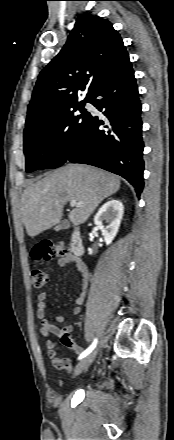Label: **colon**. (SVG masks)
I'll return each instance as SVG.
<instances>
[{
  "instance_id": "obj_1",
  "label": "colon",
  "mask_w": 174,
  "mask_h": 440,
  "mask_svg": "<svg viewBox=\"0 0 174 440\" xmlns=\"http://www.w3.org/2000/svg\"><path fill=\"white\" fill-rule=\"evenodd\" d=\"M67 249L62 244L53 242H43L35 246L31 251V256L36 261H48L57 256H65ZM32 285L35 288H41L48 283L49 275L38 268L31 272Z\"/></svg>"
}]
</instances>
